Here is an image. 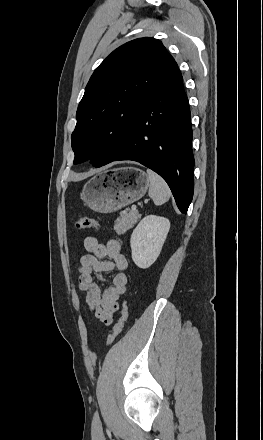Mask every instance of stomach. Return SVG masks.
Masks as SVG:
<instances>
[{"label":"stomach","instance_id":"obj_1","mask_svg":"<svg viewBox=\"0 0 263 440\" xmlns=\"http://www.w3.org/2000/svg\"><path fill=\"white\" fill-rule=\"evenodd\" d=\"M149 186L147 174L140 169H110L91 178L82 197L90 209L112 213L141 199Z\"/></svg>","mask_w":263,"mask_h":440}]
</instances>
